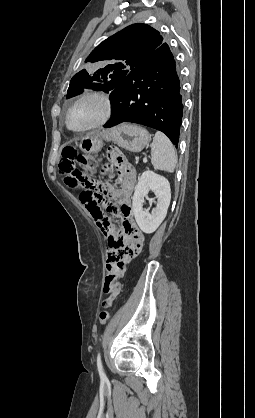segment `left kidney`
<instances>
[{
    "instance_id": "5707ae66",
    "label": "left kidney",
    "mask_w": 255,
    "mask_h": 418,
    "mask_svg": "<svg viewBox=\"0 0 255 418\" xmlns=\"http://www.w3.org/2000/svg\"><path fill=\"white\" fill-rule=\"evenodd\" d=\"M150 190L157 198V205L151 213L143 210L144 197ZM132 200V209L138 226L144 233L151 234L166 217L171 200L170 183L165 177L147 170L139 178Z\"/></svg>"
}]
</instances>
